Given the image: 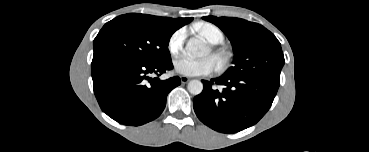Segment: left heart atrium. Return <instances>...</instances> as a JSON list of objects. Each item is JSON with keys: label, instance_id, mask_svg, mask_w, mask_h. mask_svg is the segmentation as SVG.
I'll use <instances>...</instances> for the list:
<instances>
[{"label": "left heart atrium", "instance_id": "obj_1", "mask_svg": "<svg viewBox=\"0 0 369 152\" xmlns=\"http://www.w3.org/2000/svg\"><path fill=\"white\" fill-rule=\"evenodd\" d=\"M217 61L214 57H205L194 59L190 57H182L175 61V70L184 76H201L208 75L217 69Z\"/></svg>", "mask_w": 369, "mask_h": 152}]
</instances>
